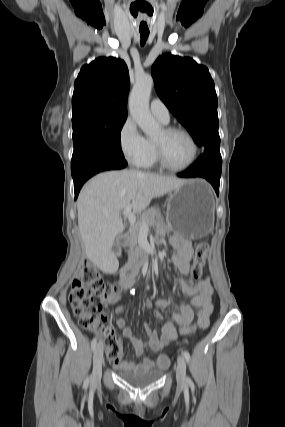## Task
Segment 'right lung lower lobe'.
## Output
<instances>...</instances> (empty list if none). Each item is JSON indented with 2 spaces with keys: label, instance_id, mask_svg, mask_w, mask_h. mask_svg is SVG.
Returning a JSON list of instances; mask_svg holds the SVG:
<instances>
[{
  "label": "right lung lower lobe",
  "instance_id": "98d812e1",
  "mask_svg": "<svg viewBox=\"0 0 285 427\" xmlns=\"http://www.w3.org/2000/svg\"><path fill=\"white\" fill-rule=\"evenodd\" d=\"M126 165L125 159H117L103 154L88 157L75 170L71 171L75 198H77L82 185L93 175L106 170L122 169Z\"/></svg>",
  "mask_w": 285,
  "mask_h": 427
}]
</instances>
